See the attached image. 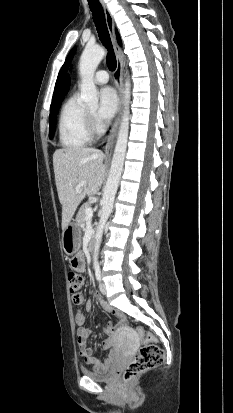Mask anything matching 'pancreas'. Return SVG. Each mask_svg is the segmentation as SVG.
I'll return each mask as SVG.
<instances>
[{"label":"pancreas","mask_w":233,"mask_h":413,"mask_svg":"<svg viewBox=\"0 0 233 413\" xmlns=\"http://www.w3.org/2000/svg\"><path fill=\"white\" fill-rule=\"evenodd\" d=\"M88 207H90V204H89V203L84 204V205L80 208V210H79V212H78V214H77L76 223H77V225H78L79 227H81V228L84 227L85 220H86V212H85V211H86V209H87Z\"/></svg>","instance_id":"pancreas-1"}]
</instances>
